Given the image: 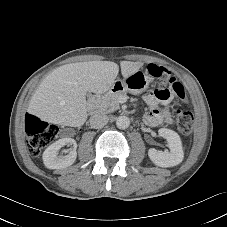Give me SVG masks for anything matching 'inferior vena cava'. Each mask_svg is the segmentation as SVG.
<instances>
[{"label": "inferior vena cava", "instance_id": "602c4592", "mask_svg": "<svg viewBox=\"0 0 227 227\" xmlns=\"http://www.w3.org/2000/svg\"><path fill=\"white\" fill-rule=\"evenodd\" d=\"M108 123V116L104 113H97L90 118V125L95 128H103Z\"/></svg>", "mask_w": 227, "mask_h": 227}]
</instances>
